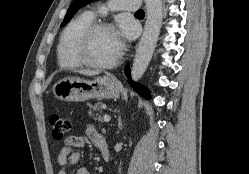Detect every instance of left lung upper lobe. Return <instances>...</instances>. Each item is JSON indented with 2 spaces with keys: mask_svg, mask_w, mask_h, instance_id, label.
Returning a JSON list of instances; mask_svg holds the SVG:
<instances>
[{
  "mask_svg": "<svg viewBox=\"0 0 249 174\" xmlns=\"http://www.w3.org/2000/svg\"><path fill=\"white\" fill-rule=\"evenodd\" d=\"M95 0H74L71 6L69 7L67 14L61 24V26H65L66 23L73 17V15L78 11V9L86 6L88 3H91Z\"/></svg>",
  "mask_w": 249,
  "mask_h": 174,
  "instance_id": "left-lung-upper-lobe-1",
  "label": "left lung upper lobe"
}]
</instances>
